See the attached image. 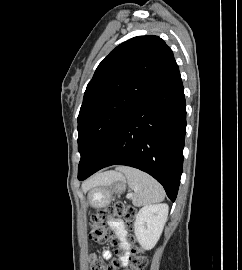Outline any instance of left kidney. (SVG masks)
<instances>
[{"mask_svg": "<svg viewBox=\"0 0 242 270\" xmlns=\"http://www.w3.org/2000/svg\"><path fill=\"white\" fill-rule=\"evenodd\" d=\"M167 204L142 207L134 223L137 241L145 250H151L158 242L168 216Z\"/></svg>", "mask_w": 242, "mask_h": 270, "instance_id": "obj_1", "label": "left kidney"}]
</instances>
